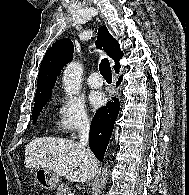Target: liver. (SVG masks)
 <instances>
[{"label":"liver","mask_w":189,"mask_h":195,"mask_svg":"<svg viewBox=\"0 0 189 195\" xmlns=\"http://www.w3.org/2000/svg\"><path fill=\"white\" fill-rule=\"evenodd\" d=\"M24 166L48 168L72 182L85 183L95 177L97 159L74 140L42 137L26 145Z\"/></svg>","instance_id":"6515ba94"}]
</instances>
